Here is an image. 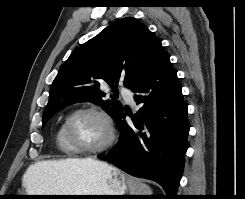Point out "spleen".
Returning <instances> with one entry per match:
<instances>
[{
  "instance_id": "3e777b00",
  "label": "spleen",
  "mask_w": 245,
  "mask_h": 199,
  "mask_svg": "<svg viewBox=\"0 0 245 199\" xmlns=\"http://www.w3.org/2000/svg\"><path fill=\"white\" fill-rule=\"evenodd\" d=\"M130 195H151V188L140 180L129 177L127 179Z\"/></svg>"
}]
</instances>
